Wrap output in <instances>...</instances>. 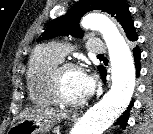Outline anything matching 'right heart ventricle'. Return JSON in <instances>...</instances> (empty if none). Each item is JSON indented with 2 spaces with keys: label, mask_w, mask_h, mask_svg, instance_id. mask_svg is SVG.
Here are the masks:
<instances>
[{
  "label": "right heart ventricle",
  "mask_w": 153,
  "mask_h": 134,
  "mask_svg": "<svg viewBox=\"0 0 153 134\" xmlns=\"http://www.w3.org/2000/svg\"><path fill=\"white\" fill-rule=\"evenodd\" d=\"M62 59L50 46L34 49L28 61L26 83L30 100L43 107L58 105L51 89V72Z\"/></svg>",
  "instance_id": "right-heart-ventricle-1"
}]
</instances>
